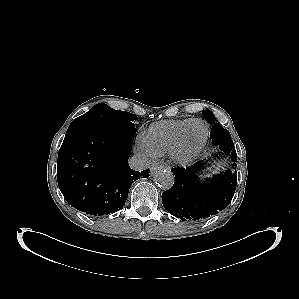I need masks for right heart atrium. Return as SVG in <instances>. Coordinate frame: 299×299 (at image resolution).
Returning <instances> with one entry per match:
<instances>
[{"label":"right heart atrium","instance_id":"obj_1","mask_svg":"<svg viewBox=\"0 0 299 299\" xmlns=\"http://www.w3.org/2000/svg\"><path fill=\"white\" fill-rule=\"evenodd\" d=\"M138 148L140 153L146 157H153L155 154L151 151V149L147 146L143 138L139 139Z\"/></svg>","mask_w":299,"mask_h":299}]
</instances>
